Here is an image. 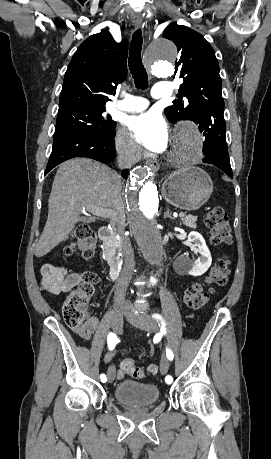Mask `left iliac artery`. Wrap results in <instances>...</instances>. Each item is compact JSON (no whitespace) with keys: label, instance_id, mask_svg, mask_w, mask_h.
I'll return each instance as SVG.
<instances>
[{"label":"left iliac artery","instance_id":"obj_1","mask_svg":"<svg viewBox=\"0 0 271 459\" xmlns=\"http://www.w3.org/2000/svg\"><path fill=\"white\" fill-rule=\"evenodd\" d=\"M153 318H156L157 320H160L162 326H165V323H164V321L162 320V317L159 314H154ZM163 328H166V327H163ZM162 332L164 333L165 331L163 330ZM166 356H167V358L169 360H173L174 355H173V352L171 351V349H168V348L166 349ZM169 376L170 375H168V377H165L166 386H171L172 377H169Z\"/></svg>","mask_w":271,"mask_h":459}]
</instances>
